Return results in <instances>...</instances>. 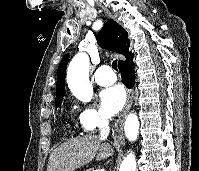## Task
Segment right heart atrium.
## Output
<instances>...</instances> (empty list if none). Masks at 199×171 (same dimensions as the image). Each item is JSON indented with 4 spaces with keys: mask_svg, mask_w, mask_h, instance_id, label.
I'll list each match as a JSON object with an SVG mask.
<instances>
[{
    "mask_svg": "<svg viewBox=\"0 0 199 171\" xmlns=\"http://www.w3.org/2000/svg\"><path fill=\"white\" fill-rule=\"evenodd\" d=\"M107 122L108 118L92 105H85L78 114V124L84 132H93Z\"/></svg>",
    "mask_w": 199,
    "mask_h": 171,
    "instance_id": "obj_1",
    "label": "right heart atrium"
}]
</instances>
